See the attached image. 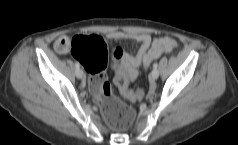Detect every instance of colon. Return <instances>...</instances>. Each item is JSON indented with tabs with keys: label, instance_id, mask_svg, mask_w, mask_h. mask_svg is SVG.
I'll return each mask as SVG.
<instances>
[{
	"label": "colon",
	"instance_id": "1",
	"mask_svg": "<svg viewBox=\"0 0 238 145\" xmlns=\"http://www.w3.org/2000/svg\"><path fill=\"white\" fill-rule=\"evenodd\" d=\"M175 48L176 45L170 38L156 40L144 56V67L147 68L154 59ZM71 54L89 73V88L107 124L114 130H125L130 127L134 122L135 112L115 96L105 76L108 52L104 40L96 35L75 36L71 40ZM122 55L121 48L113 50L115 58L120 59ZM114 82L126 98L130 100L142 98L141 89L132 90L129 87V78L123 66L117 69Z\"/></svg>",
	"mask_w": 238,
	"mask_h": 145
}]
</instances>
